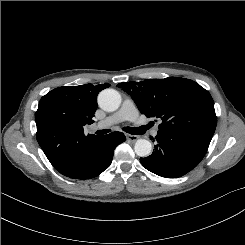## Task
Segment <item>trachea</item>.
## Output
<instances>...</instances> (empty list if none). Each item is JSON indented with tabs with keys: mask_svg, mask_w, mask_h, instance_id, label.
I'll return each mask as SVG.
<instances>
[{
	"mask_svg": "<svg viewBox=\"0 0 245 245\" xmlns=\"http://www.w3.org/2000/svg\"><path fill=\"white\" fill-rule=\"evenodd\" d=\"M150 125L146 126H141V127H124L123 130L127 133H130L132 135L135 134H142L144 133L147 129H149ZM111 130L110 129H103V130H98L96 131L97 135H103L109 133Z\"/></svg>",
	"mask_w": 245,
	"mask_h": 245,
	"instance_id": "trachea-1",
	"label": "trachea"
}]
</instances>
